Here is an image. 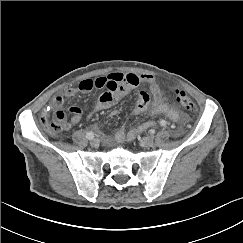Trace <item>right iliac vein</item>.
<instances>
[{
    "mask_svg": "<svg viewBox=\"0 0 243 243\" xmlns=\"http://www.w3.org/2000/svg\"><path fill=\"white\" fill-rule=\"evenodd\" d=\"M90 144L92 146H98L99 145V140L97 138H92V139H90Z\"/></svg>",
    "mask_w": 243,
    "mask_h": 243,
    "instance_id": "1",
    "label": "right iliac vein"
}]
</instances>
